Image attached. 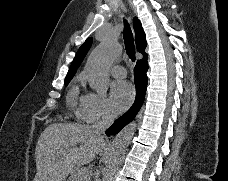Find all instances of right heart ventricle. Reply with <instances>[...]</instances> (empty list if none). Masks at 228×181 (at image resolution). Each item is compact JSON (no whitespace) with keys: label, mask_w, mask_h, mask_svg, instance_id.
Returning a JSON list of instances; mask_svg holds the SVG:
<instances>
[{"label":"right heart ventricle","mask_w":228,"mask_h":181,"mask_svg":"<svg viewBox=\"0 0 228 181\" xmlns=\"http://www.w3.org/2000/svg\"><path fill=\"white\" fill-rule=\"evenodd\" d=\"M87 80H89L90 82H92L89 73L81 72V73H77L74 76L73 83H72V86H71V89H70V92H69V101L72 104H75V101H76L77 96L79 94V86L80 85L81 86L85 85V83H86ZM75 111H76V113L78 115L81 114V109L80 110L79 109H76Z\"/></svg>","instance_id":"right-heart-ventricle-1"}]
</instances>
